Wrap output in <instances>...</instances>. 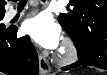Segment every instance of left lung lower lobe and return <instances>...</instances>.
Returning a JSON list of instances; mask_svg holds the SVG:
<instances>
[{"instance_id":"0a47b994","label":"left lung lower lobe","mask_w":107,"mask_h":75,"mask_svg":"<svg viewBox=\"0 0 107 75\" xmlns=\"http://www.w3.org/2000/svg\"><path fill=\"white\" fill-rule=\"evenodd\" d=\"M88 39L93 45V50L89 56L79 58L71 65L65 66L62 70H70L81 65L95 66L107 70V26L105 22H100L90 31Z\"/></svg>"}]
</instances>
